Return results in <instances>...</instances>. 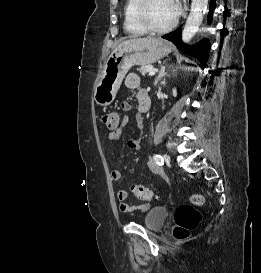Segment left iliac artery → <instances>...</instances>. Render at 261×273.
I'll return each mask as SVG.
<instances>
[{
	"instance_id": "left-iliac-artery-1",
	"label": "left iliac artery",
	"mask_w": 261,
	"mask_h": 273,
	"mask_svg": "<svg viewBox=\"0 0 261 273\" xmlns=\"http://www.w3.org/2000/svg\"><path fill=\"white\" fill-rule=\"evenodd\" d=\"M153 159H154V161L156 162V164H158V165H160V166L164 164V159L162 158L161 155L155 154V155L153 156Z\"/></svg>"
}]
</instances>
